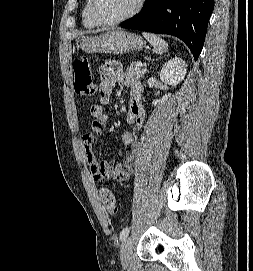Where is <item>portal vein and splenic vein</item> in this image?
<instances>
[{
    "label": "portal vein and splenic vein",
    "mask_w": 253,
    "mask_h": 271,
    "mask_svg": "<svg viewBox=\"0 0 253 271\" xmlns=\"http://www.w3.org/2000/svg\"><path fill=\"white\" fill-rule=\"evenodd\" d=\"M137 64H138L139 66H142V62H140V61H139Z\"/></svg>",
    "instance_id": "obj_1"
}]
</instances>
